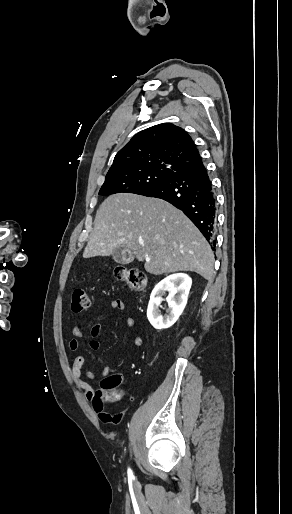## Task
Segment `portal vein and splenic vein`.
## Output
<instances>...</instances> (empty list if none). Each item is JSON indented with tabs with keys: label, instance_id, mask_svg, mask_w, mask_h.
Returning a JSON list of instances; mask_svg holds the SVG:
<instances>
[{
	"label": "portal vein and splenic vein",
	"instance_id": "obj_1",
	"mask_svg": "<svg viewBox=\"0 0 292 514\" xmlns=\"http://www.w3.org/2000/svg\"><path fill=\"white\" fill-rule=\"evenodd\" d=\"M140 244H143V242H140ZM147 262H148V260H147Z\"/></svg>",
	"mask_w": 292,
	"mask_h": 514
}]
</instances>
